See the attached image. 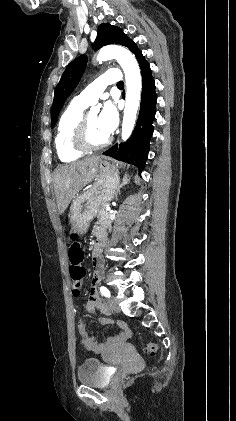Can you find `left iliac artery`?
<instances>
[{"label": "left iliac artery", "mask_w": 236, "mask_h": 421, "mask_svg": "<svg viewBox=\"0 0 236 421\" xmlns=\"http://www.w3.org/2000/svg\"><path fill=\"white\" fill-rule=\"evenodd\" d=\"M100 291L102 295H104L105 297H108V298L110 297V291L106 287L101 286Z\"/></svg>", "instance_id": "1"}]
</instances>
